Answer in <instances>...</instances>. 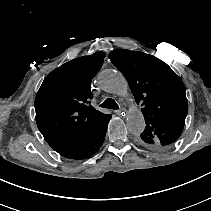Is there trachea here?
Here are the masks:
<instances>
[{
  "instance_id": "1",
  "label": "trachea",
  "mask_w": 211,
  "mask_h": 211,
  "mask_svg": "<svg viewBox=\"0 0 211 211\" xmlns=\"http://www.w3.org/2000/svg\"><path fill=\"white\" fill-rule=\"evenodd\" d=\"M100 107L107 108V109H119L118 104L112 98H107L105 101L100 104Z\"/></svg>"
}]
</instances>
